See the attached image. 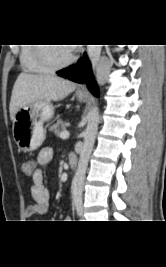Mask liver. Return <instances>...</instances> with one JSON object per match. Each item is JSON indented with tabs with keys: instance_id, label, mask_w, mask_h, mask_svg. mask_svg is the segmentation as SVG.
I'll return each instance as SVG.
<instances>
[{
	"instance_id": "1",
	"label": "liver",
	"mask_w": 166,
	"mask_h": 267,
	"mask_svg": "<svg viewBox=\"0 0 166 267\" xmlns=\"http://www.w3.org/2000/svg\"><path fill=\"white\" fill-rule=\"evenodd\" d=\"M76 89V84L56 75L20 73L14 83L9 105L10 118L23 107L39 100L61 101Z\"/></svg>"
}]
</instances>
